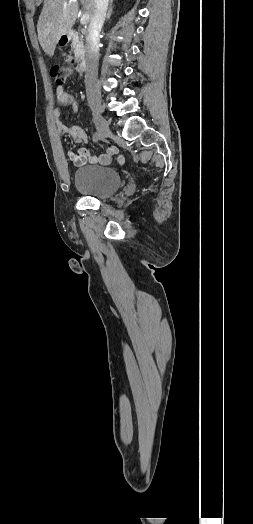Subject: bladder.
<instances>
[{"instance_id":"31cf9c89","label":"bladder","mask_w":253,"mask_h":524,"mask_svg":"<svg viewBox=\"0 0 253 524\" xmlns=\"http://www.w3.org/2000/svg\"><path fill=\"white\" fill-rule=\"evenodd\" d=\"M74 185L85 196L103 200L120 190L123 178L113 168L90 165L76 170Z\"/></svg>"}]
</instances>
